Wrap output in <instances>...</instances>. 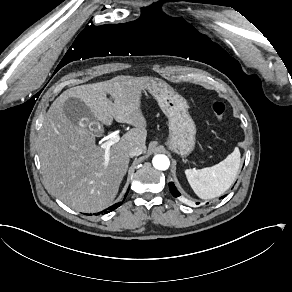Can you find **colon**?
Wrapping results in <instances>:
<instances>
[{
    "label": "colon",
    "instance_id": "obj_1",
    "mask_svg": "<svg viewBox=\"0 0 292 292\" xmlns=\"http://www.w3.org/2000/svg\"><path fill=\"white\" fill-rule=\"evenodd\" d=\"M211 108L215 120L221 122L226 115V105L221 101H215Z\"/></svg>",
    "mask_w": 292,
    "mask_h": 292
}]
</instances>
